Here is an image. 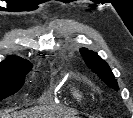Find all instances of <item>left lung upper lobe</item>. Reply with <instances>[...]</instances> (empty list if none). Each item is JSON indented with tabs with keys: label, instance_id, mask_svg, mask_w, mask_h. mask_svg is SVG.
I'll return each instance as SVG.
<instances>
[{
	"label": "left lung upper lobe",
	"instance_id": "left-lung-upper-lobe-1",
	"mask_svg": "<svg viewBox=\"0 0 133 118\" xmlns=\"http://www.w3.org/2000/svg\"><path fill=\"white\" fill-rule=\"evenodd\" d=\"M80 53L86 65L95 73L97 76L105 82L109 87L119 90L118 84L114 75L108 66V64L101 59L97 53L88 50L87 48H81Z\"/></svg>",
	"mask_w": 133,
	"mask_h": 118
}]
</instances>
